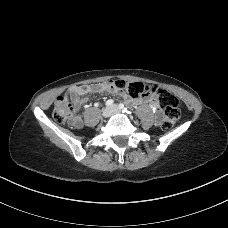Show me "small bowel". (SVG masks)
Segmentation results:
<instances>
[{
    "instance_id": "c3829d8e",
    "label": "small bowel",
    "mask_w": 228,
    "mask_h": 228,
    "mask_svg": "<svg viewBox=\"0 0 228 228\" xmlns=\"http://www.w3.org/2000/svg\"><path fill=\"white\" fill-rule=\"evenodd\" d=\"M114 81H107L103 83H97V84H91V85H75L71 86L65 93V96L72 100L74 108L78 110L84 103L85 100L81 98L82 95H85L87 93H109L121 97L127 98L126 94L117 90L114 87ZM128 102H131L130 99H127ZM141 102H148L153 109L158 110L159 109V104L156 100L152 99L149 96L143 97ZM80 119L79 117H76L73 119L71 122L72 125H79Z\"/></svg>"
}]
</instances>
